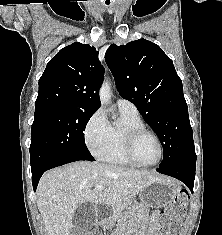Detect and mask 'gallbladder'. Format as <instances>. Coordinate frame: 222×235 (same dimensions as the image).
Listing matches in <instances>:
<instances>
[{
  "instance_id": "obj_1",
  "label": "gallbladder",
  "mask_w": 222,
  "mask_h": 235,
  "mask_svg": "<svg viewBox=\"0 0 222 235\" xmlns=\"http://www.w3.org/2000/svg\"><path fill=\"white\" fill-rule=\"evenodd\" d=\"M95 223V208L92 203L85 202L77 207L72 217L70 235H87Z\"/></svg>"
}]
</instances>
